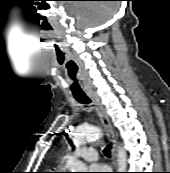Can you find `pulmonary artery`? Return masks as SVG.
Returning a JSON list of instances; mask_svg holds the SVG:
<instances>
[{
    "mask_svg": "<svg viewBox=\"0 0 170 173\" xmlns=\"http://www.w3.org/2000/svg\"><path fill=\"white\" fill-rule=\"evenodd\" d=\"M64 159L66 161H71L74 159H83L87 162H94L98 159V153L92 147H83L78 148L74 152L65 155Z\"/></svg>",
    "mask_w": 170,
    "mask_h": 173,
    "instance_id": "pulmonary-artery-1",
    "label": "pulmonary artery"
}]
</instances>
